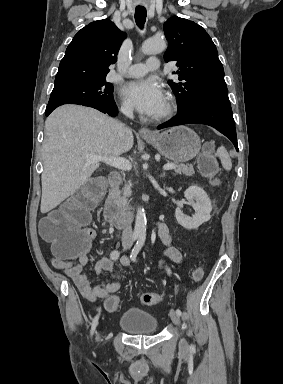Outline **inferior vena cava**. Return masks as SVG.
<instances>
[{"mask_svg":"<svg viewBox=\"0 0 283 384\" xmlns=\"http://www.w3.org/2000/svg\"><path fill=\"white\" fill-rule=\"evenodd\" d=\"M120 112L124 114V116H128V118H133V108L132 106H127V104H122L120 108ZM129 128H125V124H119V132L118 136L121 140H124V136L126 132H128ZM122 246L123 248H131L132 246V228L130 226L129 220H126V226L122 232Z\"/></svg>","mask_w":283,"mask_h":384,"instance_id":"obj_1","label":"inferior vena cava"}]
</instances>
